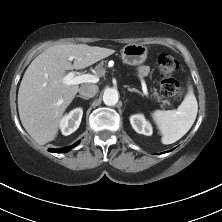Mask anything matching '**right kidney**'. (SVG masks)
I'll use <instances>...</instances> for the list:
<instances>
[{"mask_svg":"<svg viewBox=\"0 0 222 222\" xmlns=\"http://www.w3.org/2000/svg\"><path fill=\"white\" fill-rule=\"evenodd\" d=\"M82 115V108H76L65 115L60 121L62 134L68 136L75 132L81 123Z\"/></svg>","mask_w":222,"mask_h":222,"instance_id":"obj_1","label":"right kidney"}]
</instances>
